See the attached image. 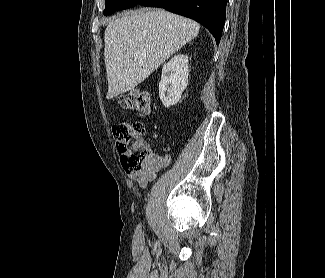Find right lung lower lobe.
I'll list each match as a JSON object with an SVG mask.
<instances>
[{"label": "right lung lower lobe", "instance_id": "1", "mask_svg": "<svg viewBox=\"0 0 325 278\" xmlns=\"http://www.w3.org/2000/svg\"><path fill=\"white\" fill-rule=\"evenodd\" d=\"M227 0H138L135 5L160 7L205 26L219 44L225 24Z\"/></svg>", "mask_w": 325, "mask_h": 278}]
</instances>
